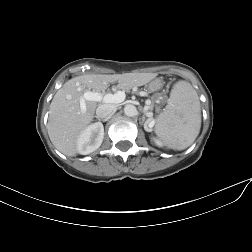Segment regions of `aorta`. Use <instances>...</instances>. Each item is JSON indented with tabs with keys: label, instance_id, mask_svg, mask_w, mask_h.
Masks as SVG:
<instances>
[{
	"label": "aorta",
	"instance_id": "aorta-1",
	"mask_svg": "<svg viewBox=\"0 0 252 252\" xmlns=\"http://www.w3.org/2000/svg\"><path fill=\"white\" fill-rule=\"evenodd\" d=\"M124 113H125V115H127L129 117H133L137 114V109L134 105L127 104L124 107Z\"/></svg>",
	"mask_w": 252,
	"mask_h": 252
}]
</instances>
